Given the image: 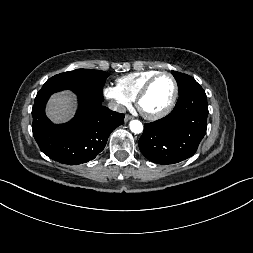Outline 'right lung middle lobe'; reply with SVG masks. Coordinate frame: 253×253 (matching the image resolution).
Segmentation results:
<instances>
[{"instance_id":"right-lung-middle-lobe-1","label":"right lung middle lobe","mask_w":253,"mask_h":253,"mask_svg":"<svg viewBox=\"0 0 253 253\" xmlns=\"http://www.w3.org/2000/svg\"><path fill=\"white\" fill-rule=\"evenodd\" d=\"M108 73L100 70L77 69L57 74L48 79L42 88L63 90L94 97L103 101L102 89Z\"/></svg>"}]
</instances>
